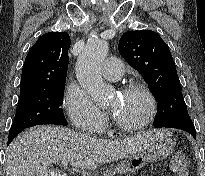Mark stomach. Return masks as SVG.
I'll return each instance as SVG.
<instances>
[{
    "label": "stomach",
    "instance_id": "stomach-1",
    "mask_svg": "<svg viewBox=\"0 0 205 176\" xmlns=\"http://www.w3.org/2000/svg\"><path fill=\"white\" fill-rule=\"evenodd\" d=\"M175 143L169 137H164L151 145L146 153H137L129 156L117 164L114 172H109L107 175L112 176L115 172L119 174L133 173L148 162L163 160L168 157L173 149Z\"/></svg>",
    "mask_w": 205,
    "mask_h": 176
}]
</instances>
